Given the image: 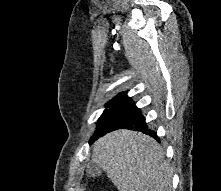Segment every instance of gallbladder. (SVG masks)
<instances>
[{"label":"gallbladder","instance_id":"gallbladder-1","mask_svg":"<svg viewBox=\"0 0 221 191\" xmlns=\"http://www.w3.org/2000/svg\"><path fill=\"white\" fill-rule=\"evenodd\" d=\"M86 174L88 175V177H98L102 174V168L93 161H91L87 165Z\"/></svg>","mask_w":221,"mask_h":191}]
</instances>
